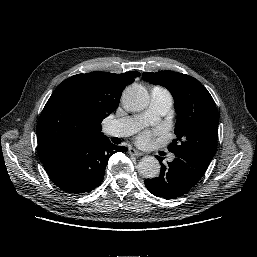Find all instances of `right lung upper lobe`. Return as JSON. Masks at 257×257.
Masks as SVG:
<instances>
[{"label": "right lung upper lobe", "instance_id": "obj_1", "mask_svg": "<svg viewBox=\"0 0 257 257\" xmlns=\"http://www.w3.org/2000/svg\"><path fill=\"white\" fill-rule=\"evenodd\" d=\"M139 76L137 71H96L64 80L52 93L37 123L40 160L65 147L105 138L102 120L117 109L124 87Z\"/></svg>", "mask_w": 257, "mask_h": 257}]
</instances>
